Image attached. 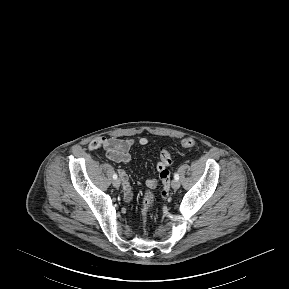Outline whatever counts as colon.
Returning <instances> with one entry per match:
<instances>
[{
  "label": "colon",
  "instance_id": "1",
  "mask_svg": "<svg viewBox=\"0 0 289 289\" xmlns=\"http://www.w3.org/2000/svg\"><path fill=\"white\" fill-rule=\"evenodd\" d=\"M179 145L182 148L190 149L196 145V142L193 138L186 137V138H183L179 141ZM158 159H159V164L161 163V164H163V165L165 164L167 166H169L171 164V162H172L171 155H170V152L168 151V149L166 147H163L160 149ZM152 205H153L152 195L149 191H146L144 198H143V203H142V213H143V216L145 219H148L150 212H151V209H152Z\"/></svg>",
  "mask_w": 289,
  "mask_h": 289
}]
</instances>
